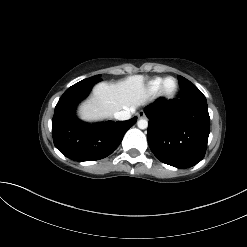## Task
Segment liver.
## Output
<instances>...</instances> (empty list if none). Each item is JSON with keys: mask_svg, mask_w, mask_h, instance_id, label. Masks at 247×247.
<instances>
[{"mask_svg": "<svg viewBox=\"0 0 247 247\" xmlns=\"http://www.w3.org/2000/svg\"><path fill=\"white\" fill-rule=\"evenodd\" d=\"M147 98L142 75L130 76L115 84L102 82L94 87L92 96L82 103L79 115L85 121L108 119L120 110H134Z\"/></svg>", "mask_w": 247, "mask_h": 247, "instance_id": "liver-1", "label": "liver"}]
</instances>
